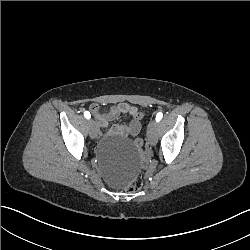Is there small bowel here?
Listing matches in <instances>:
<instances>
[{
	"label": "small bowel",
	"mask_w": 250,
	"mask_h": 250,
	"mask_svg": "<svg viewBox=\"0 0 250 250\" xmlns=\"http://www.w3.org/2000/svg\"><path fill=\"white\" fill-rule=\"evenodd\" d=\"M90 111L94 115L97 125L100 129L105 128L108 123L116 119L121 114H129L132 118L128 125H114L110 133L114 136L133 137L137 136L141 130V123L136 121L135 113L138 109L127 103H121L114 106L106 113H101L96 104L90 106Z\"/></svg>",
	"instance_id": "obj_1"
}]
</instances>
